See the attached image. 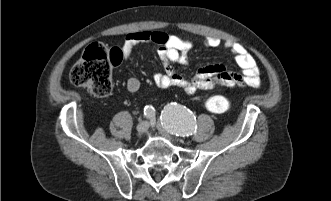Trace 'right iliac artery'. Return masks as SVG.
<instances>
[{
  "label": "right iliac artery",
  "instance_id": "obj_1",
  "mask_svg": "<svg viewBox=\"0 0 331 201\" xmlns=\"http://www.w3.org/2000/svg\"><path fill=\"white\" fill-rule=\"evenodd\" d=\"M144 115L147 119L155 118V109L152 106H146L144 108Z\"/></svg>",
  "mask_w": 331,
  "mask_h": 201
}]
</instances>
